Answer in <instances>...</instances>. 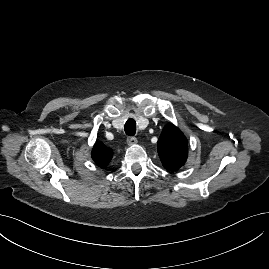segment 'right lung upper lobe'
<instances>
[{
    "instance_id": "right-lung-upper-lobe-1",
    "label": "right lung upper lobe",
    "mask_w": 269,
    "mask_h": 269,
    "mask_svg": "<svg viewBox=\"0 0 269 269\" xmlns=\"http://www.w3.org/2000/svg\"><path fill=\"white\" fill-rule=\"evenodd\" d=\"M112 156L113 151L110 148L101 142H96L92 150V159L99 167L105 168L111 161Z\"/></svg>"
}]
</instances>
